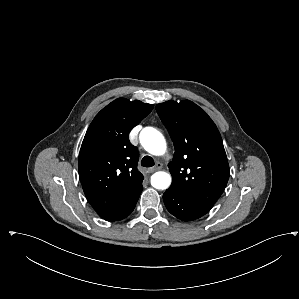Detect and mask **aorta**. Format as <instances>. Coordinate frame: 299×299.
Here are the masks:
<instances>
[{
  "label": "aorta",
  "instance_id": "aorta-1",
  "mask_svg": "<svg viewBox=\"0 0 299 299\" xmlns=\"http://www.w3.org/2000/svg\"><path fill=\"white\" fill-rule=\"evenodd\" d=\"M140 143L152 155L160 156L166 151V142L163 135L153 127H145L140 132ZM171 184V175L159 171L151 176V185L156 189H167Z\"/></svg>",
  "mask_w": 299,
  "mask_h": 299
}]
</instances>
